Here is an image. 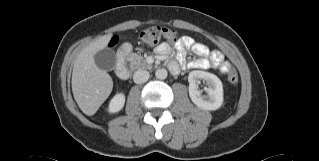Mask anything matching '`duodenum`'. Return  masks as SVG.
Masks as SVG:
<instances>
[{
	"instance_id": "obj_1",
	"label": "duodenum",
	"mask_w": 319,
	"mask_h": 161,
	"mask_svg": "<svg viewBox=\"0 0 319 161\" xmlns=\"http://www.w3.org/2000/svg\"><path fill=\"white\" fill-rule=\"evenodd\" d=\"M130 51V46L127 44L121 45L116 53V74L122 79L126 80L130 77V70L126 63V57Z\"/></svg>"
}]
</instances>
